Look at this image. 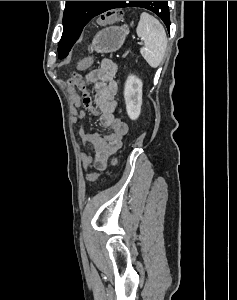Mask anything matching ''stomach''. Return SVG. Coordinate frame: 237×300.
Here are the masks:
<instances>
[{"instance_id":"1","label":"stomach","mask_w":237,"mask_h":300,"mask_svg":"<svg viewBox=\"0 0 237 300\" xmlns=\"http://www.w3.org/2000/svg\"><path fill=\"white\" fill-rule=\"evenodd\" d=\"M129 35V29L126 25L123 27H106L99 31L90 45V53H114L121 49L125 39Z\"/></svg>"}]
</instances>
